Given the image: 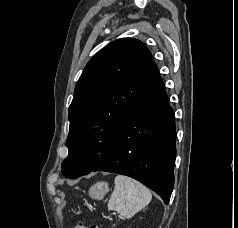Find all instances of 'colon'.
I'll return each mask as SVG.
<instances>
[{"label":"colon","mask_w":238,"mask_h":228,"mask_svg":"<svg viewBox=\"0 0 238 228\" xmlns=\"http://www.w3.org/2000/svg\"><path fill=\"white\" fill-rule=\"evenodd\" d=\"M76 228H100L97 225H87L83 222H79Z\"/></svg>","instance_id":"1"}]
</instances>
